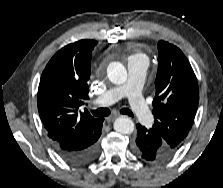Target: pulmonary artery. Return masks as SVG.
I'll return each instance as SVG.
<instances>
[{"instance_id": "e3ab8cb5", "label": "pulmonary artery", "mask_w": 223, "mask_h": 188, "mask_svg": "<svg viewBox=\"0 0 223 188\" xmlns=\"http://www.w3.org/2000/svg\"><path fill=\"white\" fill-rule=\"evenodd\" d=\"M147 66L148 60L144 55H132L128 60L127 81L105 91L96 99L95 103L100 106H109L127 97L131 110L138 121L143 125H150L153 121V115L142 94V85Z\"/></svg>"}]
</instances>
